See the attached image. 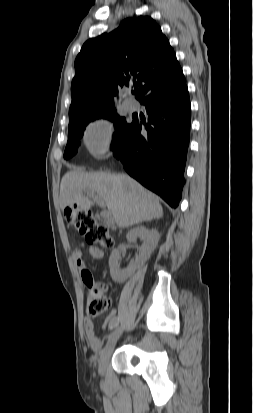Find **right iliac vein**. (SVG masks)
Wrapping results in <instances>:
<instances>
[{"label":"right iliac vein","mask_w":253,"mask_h":413,"mask_svg":"<svg viewBox=\"0 0 253 413\" xmlns=\"http://www.w3.org/2000/svg\"><path fill=\"white\" fill-rule=\"evenodd\" d=\"M121 334H122V328L118 327L109 336L108 342H107L105 348L103 349V351L100 355V359H99L98 370H99L100 374L104 373V371L106 369V366L109 362L110 356H111V354L113 352V349L115 347V344H116V342L119 339Z\"/></svg>","instance_id":"right-iliac-vein-1"}]
</instances>
